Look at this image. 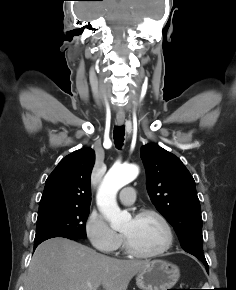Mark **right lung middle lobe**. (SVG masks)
Wrapping results in <instances>:
<instances>
[{"label": "right lung middle lobe", "mask_w": 236, "mask_h": 290, "mask_svg": "<svg viewBox=\"0 0 236 290\" xmlns=\"http://www.w3.org/2000/svg\"><path fill=\"white\" fill-rule=\"evenodd\" d=\"M88 215L89 207L52 206L39 209L34 243L53 237L86 238Z\"/></svg>", "instance_id": "1"}]
</instances>
